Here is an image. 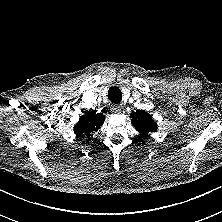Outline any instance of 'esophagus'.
I'll use <instances>...</instances> for the list:
<instances>
[{"label": "esophagus", "mask_w": 222, "mask_h": 222, "mask_svg": "<svg viewBox=\"0 0 222 222\" xmlns=\"http://www.w3.org/2000/svg\"><path fill=\"white\" fill-rule=\"evenodd\" d=\"M111 111H112V113H114V114H120V113H121V106L118 105V104L113 105V106L111 107Z\"/></svg>", "instance_id": "34e87169"}]
</instances>
